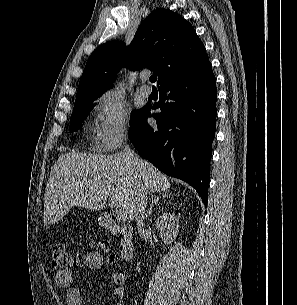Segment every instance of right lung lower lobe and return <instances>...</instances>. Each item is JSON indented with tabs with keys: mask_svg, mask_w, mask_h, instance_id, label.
I'll return each mask as SVG.
<instances>
[{
	"mask_svg": "<svg viewBox=\"0 0 297 305\" xmlns=\"http://www.w3.org/2000/svg\"><path fill=\"white\" fill-rule=\"evenodd\" d=\"M158 103L146 105L129 130L139 154L165 174L190 184L207 206L215 135L216 79L209 64L188 77L159 86ZM151 109L156 120L148 124Z\"/></svg>",
	"mask_w": 297,
	"mask_h": 305,
	"instance_id": "1",
	"label": "right lung lower lobe"
}]
</instances>
